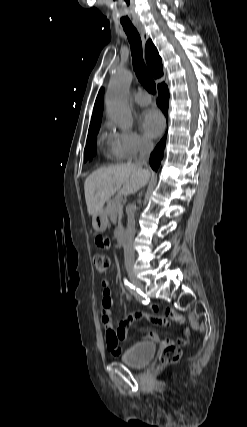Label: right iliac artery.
I'll return each mask as SVG.
<instances>
[{"mask_svg": "<svg viewBox=\"0 0 247 427\" xmlns=\"http://www.w3.org/2000/svg\"><path fill=\"white\" fill-rule=\"evenodd\" d=\"M124 285L126 289L141 303L148 304L149 299L140 291V289L136 288L133 284H131L127 279L124 280Z\"/></svg>", "mask_w": 247, "mask_h": 427, "instance_id": "right-iliac-artery-1", "label": "right iliac artery"}]
</instances>
